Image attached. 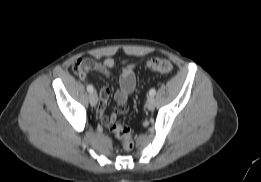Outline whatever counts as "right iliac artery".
Listing matches in <instances>:
<instances>
[{
    "label": "right iliac artery",
    "instance_id": "82829eb1",
    "mask_svg": "<svg viewBox=\"0 0 261 182\" xmlns=\"http://www.w3.org/2000/svg\"><path fill=\"white\" fill-rule=\"evenodd\" d=\"M87 91L90 92V93H92V92L94 91L93 86H92V85H88V86H87Z\"/></svg>",
    "mask_w": 261,
    "mask_h": 182
}]
</instances>
